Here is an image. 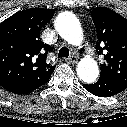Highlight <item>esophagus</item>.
Returning a JSON list of instances; mask_svg holds the SVG:
<instances>
[{
  "label": "esophagus",
  "instance_id": "obj_1",
  "mask_svg": "<svg viewBox=\"0 0 127 127\" xmlns=\"http://www.w3.org/2000/svg\"><path fill=\"white\" fill-rule=\"evenodd\" d=\"M65 61L67 62V63H70V64H75V63H77V61H78V58L76 57V56H71L70 58H67V59H65Z\"/></svg>",
  "mask_w": 127,
  "mask_h": 127
}]
</instances>
